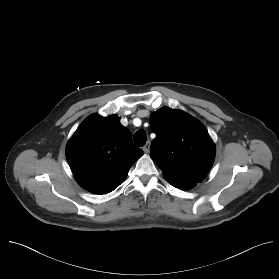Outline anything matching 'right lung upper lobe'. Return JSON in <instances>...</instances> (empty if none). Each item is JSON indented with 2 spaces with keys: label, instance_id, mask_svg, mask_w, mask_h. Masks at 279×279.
Returning <instances> with one entry per match:
<instances>
[{
  "label": "right lung upper lobe",
  "instance_id": "1",
  "mask_svg": "<svg viewBox=\"0 0 279 279\" xmlns=\"http://www.w3.org/2000/svg\"><path fill=\"white\" fill-rule=\"evenodd\" d=\"M143 154L134 146L131 132L115 115L86 118L66 148V157L77 182L96 194H106L118 187Z\"/></svg>",
  "mask_w": 279,
  "mask_h": 279
}]
</instances>
